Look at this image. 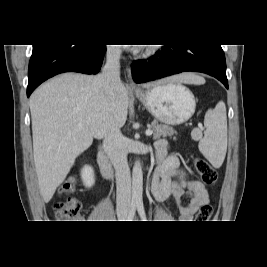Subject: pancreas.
<instances>
[{
    "instance_id": "pancreas-1",
    "label": "pancreas",
    "mask_w": 267,
    "mask_h": 267,
    "mask_svg": "<svg viewBox=\"0 0 267 267\" xmlns=\"http://www.w3.org/2000/svg\"><path fill=\"white\" fill-rule=\"evenodd\" d=\"M153 128V138L159 139L160 137L172 136L175 134L173 127L163 124H158L156 121L151 123Z\"/></svg>"
}]
</instances>
